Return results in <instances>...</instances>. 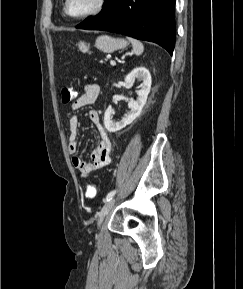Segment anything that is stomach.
I'll list each match as a JSON object with an SVG mask.
<instances>
[{"label":"stomach","mask_w":243,"mask_h":289,"mask_svg":"<svg viewBox=\"0 0 243 289\" xmlns=\"http://www.w3.org/2000/svg\"><path fill=\"white\" fill-rule=\"evenodd\" d=\"M126 46L127 42L125 40L113 38L108 35H101L97 37L95 42V47L106 53H111L115 50L125 48ZM78 47L80 51L87 52L90 48V45L85 43L84 41H80L78 43Z\"/></svg>","instance_id":"0dacf381"}]
</instances>
